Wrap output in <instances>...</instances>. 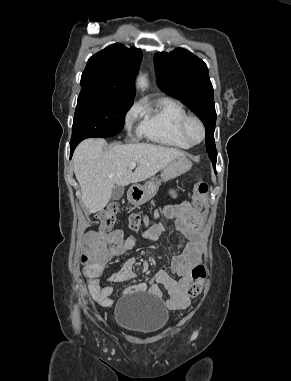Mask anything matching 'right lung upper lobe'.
<instances>
[{"instance_id": "cb5924a9", "label": "right lung upper lobe", "mask_w": 291, "mask_h": 381, "mask_svg": "<svg viewBox=\"0 0 291 381\" xmlns=\"http://www.w3.org/2000/svg\"><path fill=\"white\" fill-rule=\"evenodd\" d=\"M142 52L120 44L106 47L91 56L81 77V91L103 92L115 97L132 99L133 82L138 72Z\"/></svg>"}]
</instances>
